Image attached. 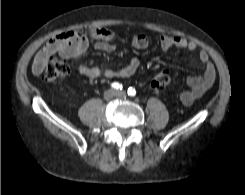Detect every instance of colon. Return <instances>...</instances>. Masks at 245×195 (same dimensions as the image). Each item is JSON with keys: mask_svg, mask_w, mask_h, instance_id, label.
I'll return each mask as SVG.
<instances>
[{"mask_svg": "<svg viewBox=\"0 0 245 195\" xmlns=\"http://www.w3.org/2000/svg\"><path fill=\"white\" fill-rule=\"evenodd\" d=\"M70 69L65 58H59L56 55H50L44 71V79L48 82H54L64 79L69 74ZM171 81L170 73L167 70L156 72L151 79V88L155 91L164 89Z\"/></svg>", "mask_w": 245, "mask_h": 195, "instance_id": "1", "label": "colon"}]
</instances>
